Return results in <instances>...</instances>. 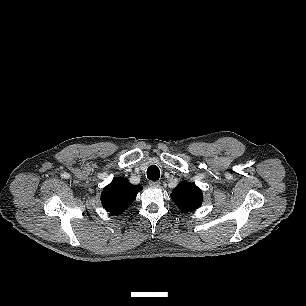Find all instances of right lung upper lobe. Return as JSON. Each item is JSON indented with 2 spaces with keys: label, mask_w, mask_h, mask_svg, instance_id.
Segmentation results:
<instances>
[{
  "label": "right lung upper lobe",
  "mask_w": 306,
  "mask_h": 306,
  "mask_svg": "<svg viewBox=\"0 0 306 306\" xmlns=\"http://www.w3.org/2000/svg\"><path fill=\"white\" fill-rule=\"evenodd\" d=\"M141 190V185H132L125 178L114 179L102 191V205L111 214L120 215L130 207Z\"/></svg>",
  "instance_id": "obj_1"
}]
</instances>
